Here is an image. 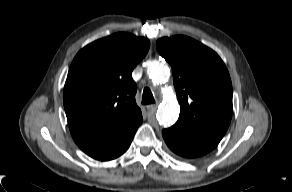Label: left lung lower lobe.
I'll use <instances>...</instances> for the list:
<instances>
[{"instance_id": "left-lung-lower-lobe-1", "label": "left lung lower lobe", "mask_w": 292, "mask_h": 192, "mask_svg": "<svg viewBox=\"0 0 292 192\" xmlns=\"http://www.w3.org/2000/svg\"><path fill=\"white\" fill-rule=\"evenodd\" d=\"M162 136L170 150L184 158L203 156L213 150L219 143L179 132L172 128L164 129Z\"/></svg>"}]
</instances>
